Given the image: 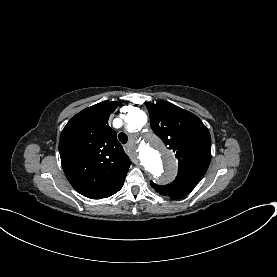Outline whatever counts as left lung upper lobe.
I'll list each match as a JSON object with an SVG mask.
<instances>
[{
	"mask_svg": "<svg viewBox=\"0 0 277 277\" xmlns=\"http://www.w3.org/2000/svg\"><path fill=\"white\" fill-rule=\"evenodd\" d=\"M155 134L176 152L179 169L176 179L167 185L151 186L161 195L178 199L189 194L204 176L211 160V137L194 114L167 101L147 104Z\"/></svg>",
	"mask_w": 277,
	"mask_h": 277,
	"instance_id": "obj_1",
	"label": "left lung upper lobe"
}]
</instances>
